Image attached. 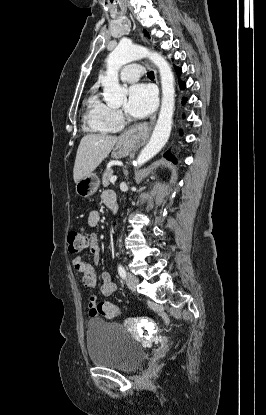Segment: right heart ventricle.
<instances>
[{
	"mask_svg": "<svg viewBox=\"0 0 266 415\" xmlns=\"http://www.w3.org/2000/svg\"><path fill=\"white\" fill-rule=\"evenodd\" d=\"M87 105L88 110L85 118L91 129L96 132L110 131L112 128L106 122L104 117L106 105L98 99L97 94L93 93L88 98Z\"/></svg>",
	"mask_w": 266,
	"mask_h": 415,
	"instance_id": "e07e8e85",
	"label": "right heart ventricle"
}]
</instances>
